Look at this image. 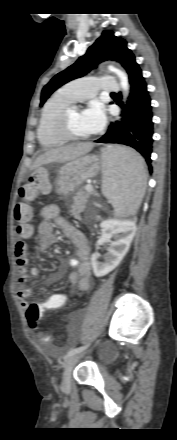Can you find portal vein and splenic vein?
I'll return each instance as SVG.
<instances>
[{"label":"portal vein and splenic vein","instance_id":"portal-vein-and-splenic-vein-1","mask_svg":"<svg viewBox=\"0 0 177 440\" xmlns=\"http://www.w3.org/2000/svg\"><path fill=\"white\" fill-rule=\"evenodd\" d=\"M86 190L91 192L93 191V186L92 185H87Z\"/></svg>","mask_w":177,"mask_h":440}]
</instances>
